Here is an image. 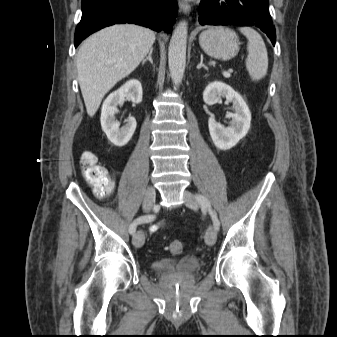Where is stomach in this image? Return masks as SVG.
I'll return each mask as SVG.
<instances>
[{
  "label": "stomach",
  "mask_w": 337,
  "mask_h": 337,
  "mask_svg": "<svg viewBox=\"0 0 337 337\" xmlns=\"http://www.w3.org/2000/svg\"><path fill=\"white\" fill-rule=\"evenodd\" d=\"M199 43L207 55L221 60L235 57L240 44L237 34L225 27H210L203 31Z\"/></svg>",
  "instance_id": "0dacf381"
}]
</instances>
